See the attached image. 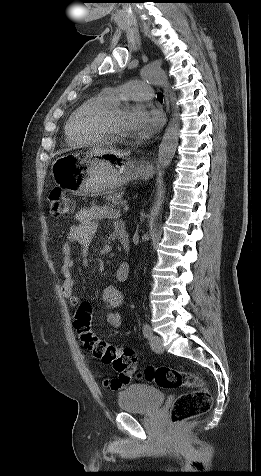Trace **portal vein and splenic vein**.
<instances>
[{
	"instance_id": "obj_1",
	"label": "portal vein and splenic vein",
	"mask_w": 261,
	"mask_h": 476,
	"mask_svg": "<svg viewBox=\"0 0 261 476\" xmlns=\"http://www.w3.org/2000/svg\"><path fill=\"white\" fill-rule=\"evenodd\" d=\"M128 210H129V206L127 205L126 202H124L123 211L127 212Z\"/></svg>"
}]
</instances>
